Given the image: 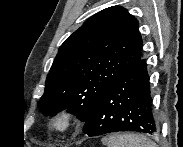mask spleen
<instances>
[{
  "label": "spleen",
  "instance_id": "obj_1",
  "mask_svg": "<svg viewBox=\"0 0 183 147\" xmlns=\"http://www.w3.org/2000/svg\"><path fill=\"white\" fill-rule=\"evenodd\" d=\"M106 147H157L147 137L134 133H117L102 138Z\"/></svg>",
  "mask_w": 183,
  "mask_h": 147
}]
</instances>
